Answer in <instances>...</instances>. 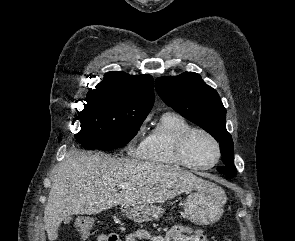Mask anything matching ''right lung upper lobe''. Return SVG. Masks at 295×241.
Masks as SVG:
<instances>
[{
    "label": "right lung upper lobe",
    "instance_id": "cb5924a9",
    "mask_svg": "<svg viewBox=\"0 0 295 241\" xmlns=\"http://www.w3.org/2000/svg\"><path fill=\"white\" fill-rule=\"evenodd\" d=\"M153 88L154 81L150 75L133 76L115 71L106 73L103 81L88 94H105L150 112L154 103Z\"/></svg>",
    "mask_w": 295,
    "mask_h": 241
}]
</instances>
